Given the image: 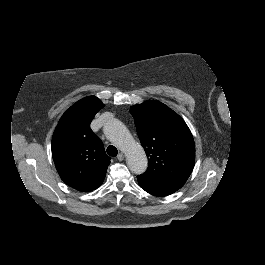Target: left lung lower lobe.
<instances>
[{"instance_id":"left-lung-lower-lobe-1","label":"left lung lower lobe","mask_w":265,"mask_h":265,"mask_svg":"<svg viewBox=\"0 0 265 265\" xmlns=\"http://www.w3.org/2000/svg\"><path fill=\"white\" fill-rule=\"evenodd\" d=\"M137 179L141 188L155 196H167L178 190L175 188L159 186L149 181L143 180L139 177H137Z\"/></svg>"}]
</instances>
